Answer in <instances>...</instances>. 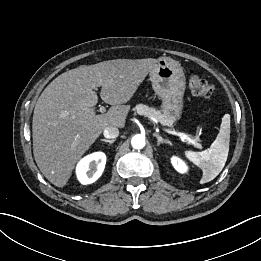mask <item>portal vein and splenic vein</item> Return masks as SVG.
Segmentation results:
<instances>
[{"label":"portal vein and splenic vein","mask_w":261,"mask_h":261,"mask_svg":"<svg viewBox=\"0 0 261 261\" xmlns=\"http://www.w3.org/2000/svg\"><path fill=\"white\" fill-rule=\"evenodd\" d=\"M99 111L101 113H104L106 111V109H105L104 106H100ZM167 132L170 133V134L179 136L182 141H187L188 143H191V144H193L195 146H198V147L202 148V146L200 144H198L197 142H195V140L191 139L190 137H188L187 135H185L183 133H177L175 131H169V130H167Z\"/></svg>","instance_id":"obj_1"}]
</instances>
